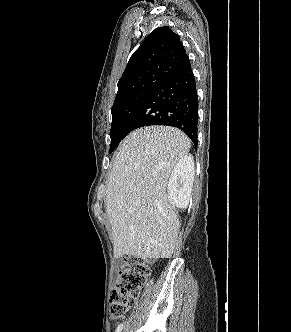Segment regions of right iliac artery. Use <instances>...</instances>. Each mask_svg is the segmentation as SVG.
<instances>
[{"instance_id": "1", "label": "right iliac artery", "mask_w": 291, "mask_h": 332, "mask_svg": "<svg viewBox=\"0 0 291 332\" xmlns=\"http://www.w3.org/2000/svg\"><path fill=\"white\" fill-rule=\"evenodd\" d=\"M124 327V323L120 324L117 329H116V332H122V329Z\"/></svg>"}]
</instances>
